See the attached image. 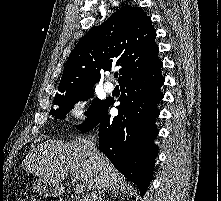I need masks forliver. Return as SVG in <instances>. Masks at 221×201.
<instances>
[{
    "instance_id": "obj_1",
    "label": "liver",
    "mask_w": 221,
    "mask_h": 201,
    "mask_svg": "<svg viewBox=\"0 0 221 201\" xmlns=\"http://www.w3.org/2000/svg\"><path fill=\"white\" fill-rule=\"evenodd\" d=\"M86 138L71 142L47 140L27 154L23 166L27 172L58 188L68 174L79 180L84 190L117 188L120 175L108 158Z\"/></svg>"
}]
</instances>
